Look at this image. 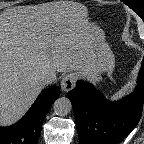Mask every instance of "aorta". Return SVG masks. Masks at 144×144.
<instances>
[{
  "label": "aorta",
  "mask_w": 144,
  "mask_h": 144,
  "mask_svg": "<svg viewBox=\"0 0 144 144\" xmlns=\"http://www.w3.org/2000/svg\"><path fill=\"white\" fill-rule=\"evenodd\" d=\"M53 109L55 114L65 116L72 109L71 101L66 97H60L54 102Z\"/></svg>",
  "instance_id": "762f6f07"
}]
</instances>
